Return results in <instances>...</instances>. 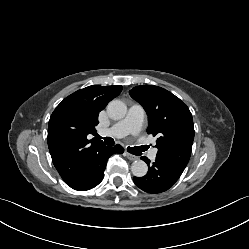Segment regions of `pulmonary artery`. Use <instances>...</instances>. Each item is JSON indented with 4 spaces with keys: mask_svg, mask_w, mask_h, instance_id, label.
I'll use <instances>...</instances> for the list:
<instances>
[{
    "mask_svg": "<svg viewBox=\"0 0 249 249\" xmlns=\"http://www.w3.org/2000/svg\"><path fill=\"white\" fill-rule=\"evenodd\" d=\"M144 119L145 112L143 108L139 105H132L124 119L116 123L110 129L101 130L100 134L103 136L113 135L117 138H121L128 134H136L141 130ZM156 154L157 150H152L149 155L150 160H155Z\"/></svg>",
    "mask_w": 249,
    "mask_h": 249,
    "instance_id": "e3ab8cb5",
    "label": "pulmonary artery"
}]
</instances>
